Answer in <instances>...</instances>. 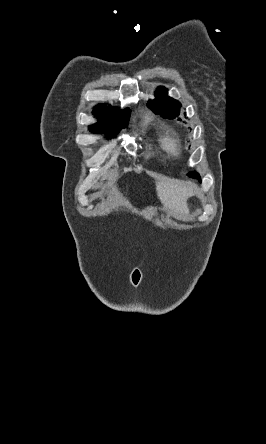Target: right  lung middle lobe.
I'll return each mask as SVG.
<instances>
[{"instance_id": "1", "label": "right lung middle lobe", "mask_w": 266, "mask_h": 444, "mask_svg": "<svg viewBox=\"0 0 266 444\" xmlns=\"http://www.w3.org/2000/svg\"><path fill=\"white\" fill-rule=\"evenodd\" d=\"M129 112V109L117 111L116 107L103 106L93 112L100 120L98 124L91 126V131L94 133L107 131L110 137L115 136L121 128L127 125Z\"/></svg>"}]
</instances>
